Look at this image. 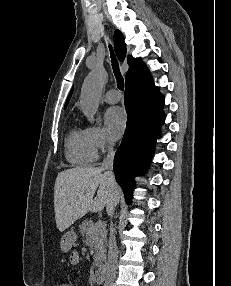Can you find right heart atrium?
<instances>
[{"mask_svg":"<svg viewBox=\"0 0 231 286\" xmlns=\"http://www.w3.org/2000/svg\"><path fill=\"white\" fill-rule=\"evenodd\" d=\"M85 130L88 139L90 141V144L97 153L105 152L112 146L111 140L108 138L104 130L99 126L91 125L87 127Z\"/></svg>","mask_w":231,"mask_h":286,"instance_id":"right-heart-atrium-1","label":"right heart atrium"}]
</instances>
